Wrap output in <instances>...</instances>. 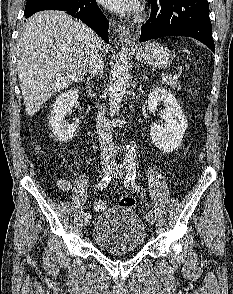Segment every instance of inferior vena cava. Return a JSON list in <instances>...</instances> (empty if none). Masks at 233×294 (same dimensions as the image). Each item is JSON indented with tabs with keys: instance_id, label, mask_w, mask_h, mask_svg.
Segmentation results:
<instances>
[{
	"instance_id": "602c4592",
	"label": "inferior vena cava",
	"mask_w": 233,
	"mask_h": 294,
	"mask_svg": "<svg viewBox=\"0 0 233 294\" xmlns=\"http://www.w3.org/2000/svg\"><path fill=\"white\" fill-rule=\"evenodd\" d=\"M102 49L100 48V51ZM93 53L90 56L89 61V72L93 76H102L104 69V62L102 59L101 53ZM97 122V132L100 140V148H101V160L103 165L112 164L114 162L115 154H114V143L112 141V135L110 133V127L107 123L102 112L98 113L96 118Z\"/></svg>"
}]
</instances>
